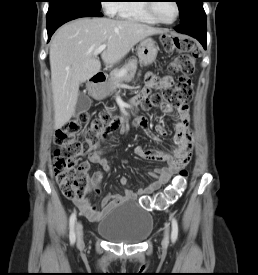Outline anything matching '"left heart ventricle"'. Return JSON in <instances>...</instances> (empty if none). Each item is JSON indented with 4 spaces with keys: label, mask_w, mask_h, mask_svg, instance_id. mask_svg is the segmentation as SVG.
Here are the masks:
<instances>
[{
    "label": "left heart ventricle",
    "mask_w": 258,
    "mask_h": 275,
    "mask_svg": "<svg viewBox=\"0 0 258 275\" xmlns=\"http://www.w3.org/2000/svg\"><path fill=\"white\" fill-rule=\"evenodd\" d=\"M155 11L157 16L164 21H171L176 16V8L173 1H158L155 4Z\"/></svg>",
    "instance_id": "obj_1"
}]
</instances>
